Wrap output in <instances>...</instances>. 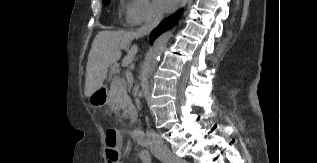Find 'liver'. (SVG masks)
I'll list each match as a JSON object with an SVG mask.
<instances>
[{
	"label": "liver",
	"instance_id": "6515ba94",
	"mask_svg": "<svg viewBox=\"0 0 317 163\" xmlns=\"http://www.w3.org/2000/svg\"><path fill=\"white\" fill-rule=\"evenodd\" d=\"M140 36L133 31H100L93 40L88 55L85 78V96L89 97L103 86L108 68L121 58V50L127 55L122 60L123 67L134 68L133 61L138 52L137 45L130 44Z\"/></svg>",
	"mask_w": 317,
	"mask_h": 163
}]
</instances>
